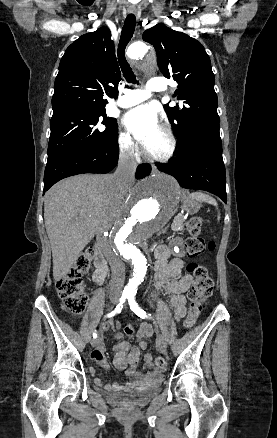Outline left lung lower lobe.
<instances>
[{
  "mask_svg": "<svg viewBox=\"0 0 277 438\" xmlns=\"http://www.w3.org/2000/svg\"><path fill=\"white\" fill-rule=\"evenodd\" d=\"M158 169L188 189L209 191L226 203V175L222 158L219 122H208L190 145L170 163H156Z\"/></svg>",
  "mask_w": 277,
  "mask_h": 438,
  "instance_id": "0a47b994",
  "label": "left lung lower lobe"
}]
</instances>
